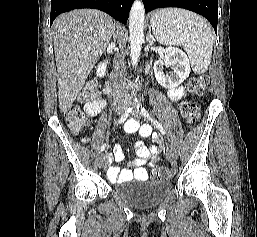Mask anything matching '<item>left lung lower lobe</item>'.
Listing matches in <instances>:
<instances>
[{
  "mask_svg": "<svg viewBox=\"0 0 257 237\" xmlns=\"http://www.w3.org/2000/svg\"><path fill=\"white\" fill-rule=\"evenodd\" d=\"M145 12L157 8L179 7L191 10L204 16L217 32L218 1L217 0H143Z\"/></svg>",
  "mask_w": 257,
  "mask_h": 237,
  "instance_id": "1",
  "label": "left lung lower lobe"
}]
</instances>
